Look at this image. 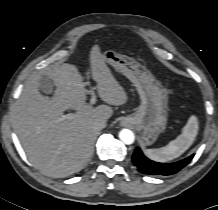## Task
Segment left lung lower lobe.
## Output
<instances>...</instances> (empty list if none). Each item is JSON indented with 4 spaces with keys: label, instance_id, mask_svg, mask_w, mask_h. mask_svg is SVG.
Wrapping results in <instances>:
<instances>
[{
    "label": "left lung lower lobe",
    "instance_id": "left-lung-lower-lobe-1",
    "mask_svg": "<svg viewBox=\"0 0 218 210\" xmlns=\"http://www.w3.org/2000/svg\"><path fill=\"white\" fill-rule=\"evenodd\" d=\"M193 157L194 154L181 161L170 164L157 163L145 157L140 148L137 147L132 155V162L137 167L138 171L143 174L166 176L175 174L176 172L181 170L183 167L189 164Z\"/></svg>",
    "mask_w": 218,
    "mask_h": 210
}]
</instances>
